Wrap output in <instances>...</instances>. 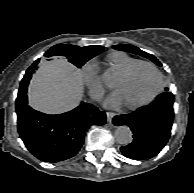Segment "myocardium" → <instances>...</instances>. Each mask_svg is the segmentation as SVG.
I'll list each match as a JSON object with an SVG mask.
<instances>
[{
  "label": "myocardium",
  "instance_id": "f54148a6",
  "mask_svg": "<svg viewBox=\"0 0 194 193\" xmlns=\"http://www.w3.org/2000/svg\"><path fill=\"white\" fill-rule=\"evenodd\" d=\"M141 66H149L155 71V73L157 75V86H156V89L154 90V92L152 93V95L148 99L144 100L143 102H140L137 104H125L126 108H128V109H138V108L149 105L157 98V96L159 95V93L161 92L162 87H163V74H162L161 70L159 69V67L155 63L150 62V61H140V62L132 65L130 68H128L127 70L122 72L119 75V78L121 80L128 79Z\"/></svg>",
  "mask_w": 194,
  "mask_h": 193
}]
</instances>
